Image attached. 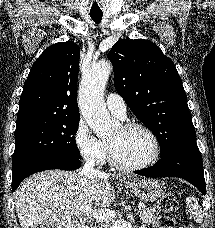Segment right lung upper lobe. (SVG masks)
Instances as JSON below:
<instances>
[{
    "instance_id": "obj_1",
    "label": "right lung upper lobe",
    "mask_w": 215,
    "mask_h": 228,
    "mask_svg": "<svg viewBox=\"0 0 215 228\" xmlns=\"http://www.w3.org/2000/svg\"><path fill=\"white\" fill-rule=\"evenodd\" d=\"M80 48L72 41L46 48L24 83L17 125L36 120L80 118L77 80Z\"/></svg>"
}]
</instances>
